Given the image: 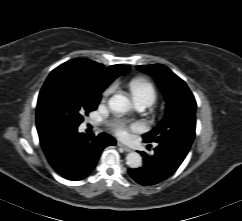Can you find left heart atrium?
<instances>
[{"label": "left heart atrium", "mask_w": 242, "mask_h": 221, "mask_svg": "<svg viewBox=\"0 0 242 221\" xmlns=\"http://www.w3.org/2000/svg\"><path fill=\"white\" fill-rule=\"evenodd\" d=\"M114 132L121 138H127L129 136V130L135 129L134 126H128L124 121H118L113 126Z\"/></svg>", "instance_id": "obj_1"}]
</instances>
